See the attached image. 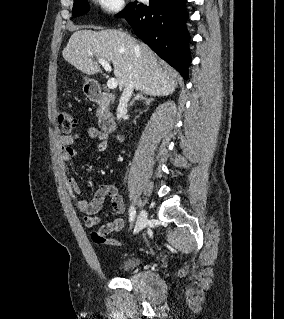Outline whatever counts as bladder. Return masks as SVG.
I'll use <instances>...</instances> for the list:
<instances>
[{
	"label": "bladder",
	"instance_id": "obj_1",
	"mask_svg": "<svg viewBox=\"0 0 284 319\" xmlns=\"http://www.w3.org/2000/svg\"><path fill=\"white\" fill-rule=\"evenodd\" d=\"M144 261L139 255H131L121 259L117 265V269L122 273H129L138 268Z\"/></svg>",
	"mask_w": 284,
	"mask_h": 319
}]
</instances>
